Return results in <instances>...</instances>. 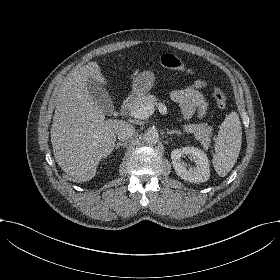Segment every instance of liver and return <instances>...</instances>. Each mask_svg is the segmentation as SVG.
Here are the masks:
<instances>
[{
	"label": "liver",
	"mask_w": 280,
	"mask_h": 280,
	"mask_svg": "<svg viewBox=\"0 0 280 280\" xmlns=\"http://www.w3.org/2000/svg\"><path fill=\"white\" fill-rule=\"evenodd\" d=\"M89 78L105 82L96 62L73 71L62 82L51 127L56 162L80 181L95 176L99 162L114 149L119 127L126 124L117 119L105 120L103 110L89 95Z\"/></svg>",
	"instance_id": "1"
}]
</instances>
